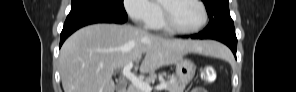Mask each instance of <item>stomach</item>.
Here are the masks:
<instances>
[{
  "mask_svg": "<svg viewBox=\"0 0 296 92\" xmlns=\"http://www.w3.org/2000/svg\"><path fill=\"white\" fill-rule=\"evenodd\" d=\"M196 65L189 59H181L176 65V77L180 84H188L194 77Z\"/></svg>",
  "mask_w": 296,
  "mask_h": 92,
  "instance_id": "stomach-1",
  "label": "stomach"
}]
</instances>
